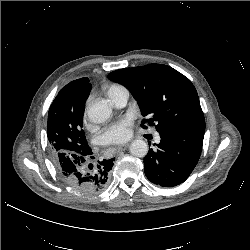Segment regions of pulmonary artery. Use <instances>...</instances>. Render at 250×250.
I'll return each instance as SVG.
<instances>
[{
    "label": "pulmonary artery",
    "instance_id": "e3ab8cb5",
    "mask_svg": "<svg viewBox=\"0 0 250 250\" xmlns=\"http://www.w3.org/2000/svg\"><path fill=\"white\" fill-rule=\"evenodd\" d=\"M116 107H123L128 101V92L126 89L120 90L109 96ZM157 141L159 138L156 139Z\"/></svg>",
    "mask_w": 250,
    "mask_h": 250
}]
</instances>
